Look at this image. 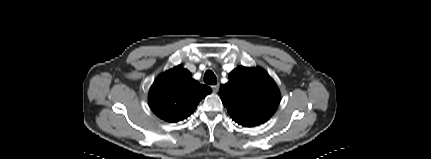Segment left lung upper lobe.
Returning <instances> with one entry per match:
<instances>
[{"mask_svg": "<svg viewBox=\"0 0 431 159\" xmlns=\"http://www.w3.org/2000/svg\"><path fill=\"white\" fill-rule=\"evenodd\" d=\"M220 95L233 120L245 127L266 122L276 111L280 93L274 80L261 68L238 67L229 74Z\"/></svg>", "mask_w": 431, "mask_h": 159, "instance_id": "obj_1", "label": "left lung upper lobe"}]
</instances>
